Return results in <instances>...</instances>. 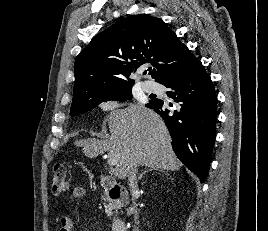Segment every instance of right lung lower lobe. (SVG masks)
Segmentation results:
<instances>
[{"mask_svg": "<svg viewBox=\"0 0 268 231\" xmlns=\"http://www.w3.org/2000/svg\"><path fill=\"white\" fill-rule=\"evenodd\" d=\"M160 84L175 104L154 99L146 106L164 120L177 157L205 182L215 141L217 98L201 61L166 77Z\"/></svg>", "mask_w": 268, "mask_h": 231, "instance_id": "1", "label": "right lung lower lobe"}]
</instances>
